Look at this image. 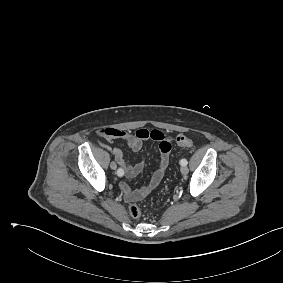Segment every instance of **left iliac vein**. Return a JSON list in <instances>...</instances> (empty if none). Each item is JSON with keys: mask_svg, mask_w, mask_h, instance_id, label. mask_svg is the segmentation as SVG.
Returning <instances> with one entry per match:
<instances>
[{"mask_svg": "<svg viewBox=\"0 0 283 283\" xmlns=\"http://www.w3.org/2000/svg\"><path fill=\"white\" fill-rule=\"evenodd\" d=\"M188 172H189V169H188L187 166H182V167H181V173H182L183 175L188 174Z\"/></svg>", "mask_w": 283, "mask_h": 283, "instance_id": "4c4485c4", "label": "left iliac vein"}]
</instances>
